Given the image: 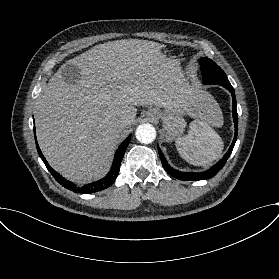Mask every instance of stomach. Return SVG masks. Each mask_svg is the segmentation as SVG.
Listing matches in <instances>:
<instances>
[{
    "instance_id": "1",
    "label": "stomach",
    "mask_w": 279,
    "mask_h": 279,
    "mask_svg": "<svg viewBox=\"0 0 279 279\" xmlns=\"http://www.w3.org/2000/svg\"><path fill=\"white\" fill-rule=\"evenodd\" d=\"M171 101L175 102L176 99L172 98ZM186 113L183 107L171 105L150 108L146 116L152 117V121H158V119L162 120L163 129L161 130V139L170 142L183 134L186 127V121L183 117Z\"/></svg>"
}]
</instances>
